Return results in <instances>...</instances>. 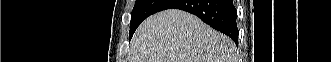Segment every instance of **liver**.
<instances>
[{"label":"liver","instance_id":"1","mask_svg":"<svg viewBox=\"0 0 331 62\" xmlns=\"http://www.w3.org/2000/svg\"><path fill=\"white\" fill-rule=\"evenodd\" d=\"M236 46L198 17L170 9L148 17L136 30L129 62H235Z\"/></svg>","mask_w":331,"mask_h":62}]
</instances>
